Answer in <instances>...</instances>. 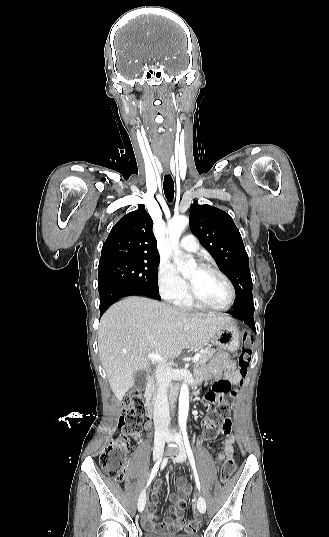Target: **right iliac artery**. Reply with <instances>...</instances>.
Listing matches in <instances>:
<instances>
[{
    "instance_id": "82829eb1",
    "label": "right iliac artery",
    "mask_w": 329,
    "mask_h": 537,
    "mask_svg": "<svg viewBox=\"0 0 329 537\" xmlns=\"http://www.w3.org/2000/svg\"><path fill=\"white\" fill-rule=\"evenodd\" d=\"M161 460H162V458H160V459L155 463V465H154V467H153V469H152V471H151L150 478H149V480H148V482H147V487L151 484L152 480H153L154 477L157 475V472H158V470H159V465H160V463H161Z\"/></svg>"
}]
</instances>
